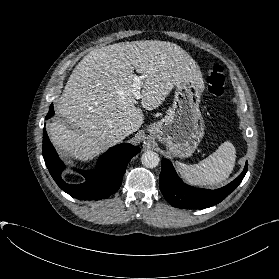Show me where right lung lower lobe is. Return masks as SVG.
<instances>
[{"instance_id": "right-lung-lower-lobe-1", "label": "right lung lower lobe", "mask_w": 279, "mask_h": 279, "mask_svg": "<svg viewBox=\"0 0 279 279\" xmlns=\"http://www.w3.org/2000/svg\"><path fill=\"white\" fill-rule=\"evenodd\" d=\"M54 115L53 104L49 108L46 119ZM139 148L131 144H119L101 155L95 170L81 171L86 181L81 184H67L61 178L64 164L51 144L45 128L43 129V157L45 164L57 183L66 193L76 199L100 200L114 194L122 183L128 162L138 154Z\"/></svg>"}]
</instances>
